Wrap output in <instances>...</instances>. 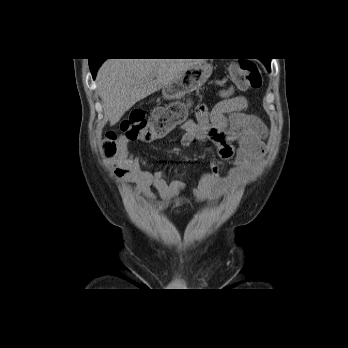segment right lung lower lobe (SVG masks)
<instances>
[{
	"label": "right lung lower lobe",
	"mask_w": 348,
	"mask_h": 348,
	"mask_svg": "<svg viewBox=\"0 0 348 348\" xmlns=\"http://www.w3.org/2000/svg\"><path fill=\"white\" fill-rule=\"evenodd\" d=\"M102 62L103 61L93 60V62L89 64L93 78H95L96 72L99 66L102 64Z\"/></svg>",
	"instance_id": "98d812e1"
}]
</instances>
